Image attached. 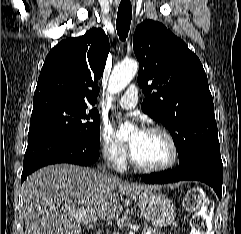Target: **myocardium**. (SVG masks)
Here are the masks:
<instances>
[{
    "instance_id": "1",
    "label": "myocardium",
    "mask_w": 241,
    "mask_h": 234,
    "mask_svg": "<svg viewBox=\"0 0 241 234\" xmlns=\"http://www.w3.org/2000/svg\"><path fill=\"white\" fill-rule=\"evenodd\" d=\"M143 131L149 132V133L161 134L167 140V142L170 146L171 158L166 164H164L162 166H158V167L145 166L137 161V159L135 158V155L133 153V149L129 145V160H130L131 165L136 170L143 172V173H149V174L161 173V172H165V171H168L171 168H173L176 165L178 158H179V149H178L177 143H176L175 139L173 138V136L166 129H164L161 126H150V127L145 128Z\"/></svg>"
}]
</instances>
